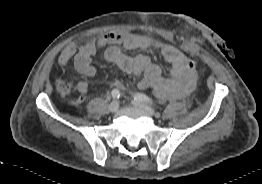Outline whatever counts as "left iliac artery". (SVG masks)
Listing matches in <instances>:
<instances>
[{
  "mask_svg": "<svg viewBox=\"0 0 262 184\" xmlns=\"http://www.w3.org/2000/svg\"><path fill=\"white\" fill-rule=\"evenodd\" d=\"M134 99H135V100H138V101H141V102L148 103V104L156 107V104L153 102V100H152L151 98H149L148 96L142 94V93H137V94L134 96Z\"/></svg>",
  "mask_w": 262,
  "mask_h": 184,
  "instance_id": "1",
  "label": "left iliac artery"
}]
</instances>
